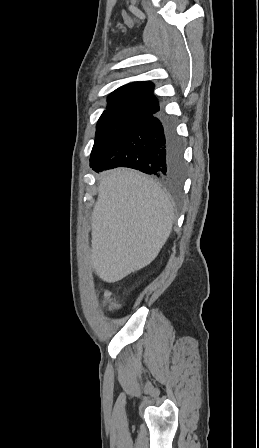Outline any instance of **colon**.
Returning a JSON list of instances; mask_svg holds the SVG:
<instances>
[{"label": "colon", "instance_id": "1", "mask_svg": "<svg viewBox=\"0 0 259 448\" xmlns=\"http://www.w3.org/2000/svg\"><path fill=\"white\" fill-rule=\"evenodd\" d=\"M104 303L110 308V309H118L120 308V304L112 297V295L108 292H106L103 296Z\"/></svg>", "mask_w": 259, "mask_h": 448}]
</instances>
